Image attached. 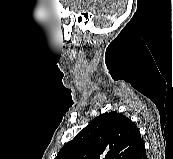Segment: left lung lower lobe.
<instances>
[{
    "label": "left lung lower lobe",
    "instance_id": "1",
    "mask_svg": "<svg viewBox=\"0 0 173 159\" xmlns=\"http://www.w3.org/2000/svg\"><path fill=\"white\" fill-rule=\"evenodd\" d=\"M129 159H147L144 142L137 148V150L129 157Z\"/></svg>",
    "mask_w": 173,
    "mask_h": 159
}]
</instances>
